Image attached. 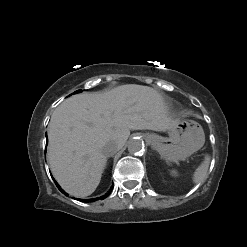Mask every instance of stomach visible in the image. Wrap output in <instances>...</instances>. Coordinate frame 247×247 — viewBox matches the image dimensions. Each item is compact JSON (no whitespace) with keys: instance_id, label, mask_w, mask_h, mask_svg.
Returning a JSON list of instances; mask_svg holds the SVG:
<instances>
[{"instance_id":"stomach-1","label":"stomach","mask_w":247,"mask_h":247,"mask_svg":"<svg viewBox=\"0 0 247 247\" xmlns=\"http://www.w3.org/2000/svg\"><path fill=\"white\" fill-rule=\"evenodd\" d=\"M168 134L169 137L149 134L147 139L161 157L170 162L185 159L205 143L202 126L193 120L177 119Z\"/></svg>"}]
</instances>
